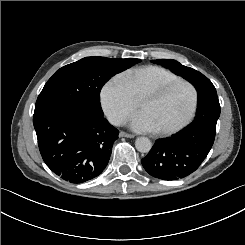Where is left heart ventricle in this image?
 <instances>
[{"mask_svg":"<svg viewBox=\"0 0 245 245\" xmlns=\"http://www.w3.org/2000/svg\"><path fill=\"white\" fill-rule=\"evenodd\" d=\"M191 92L185 85L178 86L165 97L158 99L154 93L137 104L140 112L147 114L158 130L168 129L181 122L191 106Z\"/></svg>","mask_w":245,"mask_h":245,"instance_id":"1","label":"left heart ventricle"}]
</instances>
